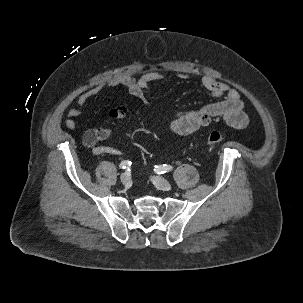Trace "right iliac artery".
Returning <instances> with one entry per match:
<instances>
[{
	"label": "right iliac artery",
	"instance_id": "right-iliac-artery-1",
	"mask_svg": "<svg viewBox=\"0 0 303 303\" xmlns=\"http://www.w3.org/2000/svg\"><path fill=\"white\" fill-rule=\"evenodd\" d=\"M131 165V161L129 160H124L120 163L119 167L121 169H126V168H129V166Z\"/></svg>",
	"mask_w": 303,
	"mask_h": 303
}]
</instances>
